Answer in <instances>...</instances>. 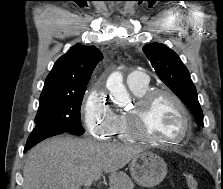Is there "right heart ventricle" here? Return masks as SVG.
<instances>
[{"mask_svg":"<svg viewBox=\"0 0 223 189\" xmlns=\"http://www.w3.org/2000/svg\"><path fill=\"white\" fill-rule=\"evenodd\" d=\"M130 89L134 95L140 97L148 91L149 87L147 85L142 88H130ZM112 135H117L118 138L123 141H132L133 138L131 137L128 131L126 113L116 114L115 126Z\"/></svg>","mask_w":223,"mask_h":189,"instance_id":"right-heart-ventricle-1","label":"right heart ventricle"}]
</instances>
